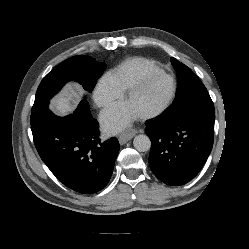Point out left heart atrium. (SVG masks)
Here are the masks:
<instances>
[{
	"instance_id": "obj_1",
	"label": "left heart atrium",
	"mask_w": 249,
	"mask_h": 249,
	"mask_svg": "<svg viewBox=\"0 0 249 249\" xmlns=\"http://www.w3.org/2000/svg\"><path fill=\"white\" fill-rule=\"evenodd\" d=\"M137 115L125 104H117L102 115V121L110 132H117L130 125Z\"/></svg>"
}]
</instances>
